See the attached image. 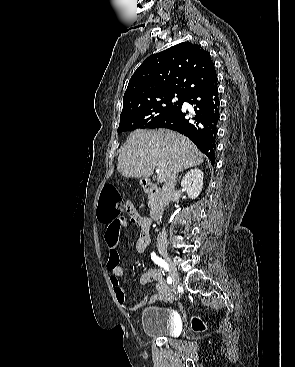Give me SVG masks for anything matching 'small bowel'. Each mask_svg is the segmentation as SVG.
<instances>
[{
    "label": "small bowel",
    "instance_id": "small-bowel-1",
    "mask_svg": "<svg viewBox=\"0 0 295 367\" xmlns=\"http://www.w3.org/2000/svg\"><path fill=\"white\" fill-rule=\"evenodd\" d=\"M125 210L128 214V218H118L106 223L104 240L109 250L107 269L111 273L110 283L117 302L125 311L133 312L146 303L152 304L168 298L170 296V290L166 285L161 272L157 269H149L141 275L139 284L140 286H145L150 282H155L153 293L137 304L131 305L128 303L125 291L120 284V278L124 273L121 263V255L118 249L120 231L122 227L128 223L138 226L140 228V232L137 236L135 248L138 252H144L150 244L152 220L149 217L142 216L131 202L125 203Z\"/></svg>",
    "mask_w": 295,
    "mask_h": 367
}]
</instances>
